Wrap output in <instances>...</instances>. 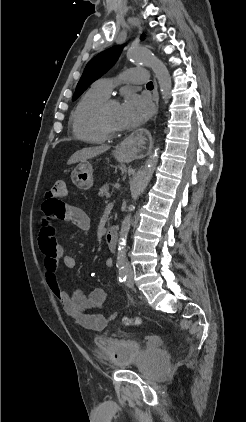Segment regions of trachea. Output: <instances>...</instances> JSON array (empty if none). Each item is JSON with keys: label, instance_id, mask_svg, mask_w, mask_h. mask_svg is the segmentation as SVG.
<instances>
[{"label": "trachea", "instance_id": "trachea-1", "mask_svg": "<svg viewBox=\"0 0 246 422\" xmlns=\"http://www.w3.org/2000/svg\"><path fill=\"white\" fill-rule=\"evenodd\" d=\"M147 87H153V83L152 82H148L147 83Z\"/></svg>", "mask_w": 246, "mask_h": 422}]
</instances>
